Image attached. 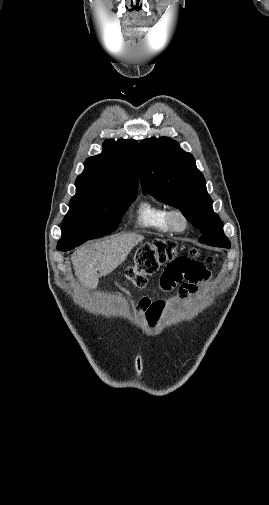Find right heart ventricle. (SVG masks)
<instances>
[{"mask_svg":"<svg viewBox=\"0 0 269 505\" xmlns=\"http://www.w3.org/2000/svg\"><path fill=\"white\" fill-rule=\"evenodd\" d=\"M167 207L144 199L139 202L135 211V224L141 228H148L158 233L168 234L171 229L167 224Z\"/></svg>","mask_w":269,"mask_h":505,"instance_id":"1","label":"right heart ventricle"}]
</instances>
